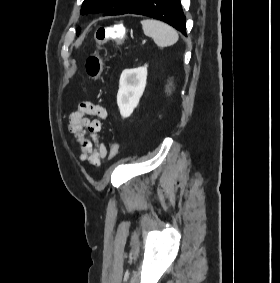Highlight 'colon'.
Instances as JSON below:
<instances>
[{
    "mask_svg": "<svg viewBox=\"0 0 280 283\" xmlns=\"http://www.w3.org/2000/svg\"><path fill=\"white\" fill-rule=\"evenodd\" d=\"M125 33V27L121 25L99 26L95 32V45L100 46L108 40H113V42H126V37H123ZM86 71L88 75L96 81L102 78V59L97 50L88 56L86 60ZM118 151L119 146L115 144L110 157L115 158Z\"/></svg>",
    "mask_w": 280,
    "mask_h": 283,
    "instance_id": "1",
    "label": "colon"
}]
</instances>
